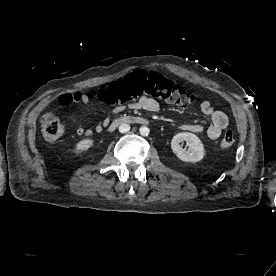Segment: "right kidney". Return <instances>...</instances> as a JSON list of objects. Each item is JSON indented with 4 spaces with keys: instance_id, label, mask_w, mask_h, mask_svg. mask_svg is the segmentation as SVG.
<instances>
[{
    "instance_id": "obj_1",
    "label": "right kidney",
    "mask_w": 276,
    "mask_h": 276,
    "mask_svg": "<svg viewBox=\"0 0 276 276\" xmlns=\"http://www.w3.org/2000/svg\"><path fill=\"white\" fill-rule=\"evenodd\" d=\"M92 145H93V140L89 139V138H86V139H83V140L79 141L76 144V149L78 151L82 152V151L88 150Z\"/></svg>"
}]
</instances>
